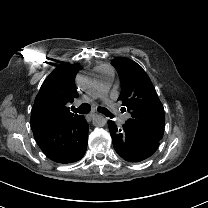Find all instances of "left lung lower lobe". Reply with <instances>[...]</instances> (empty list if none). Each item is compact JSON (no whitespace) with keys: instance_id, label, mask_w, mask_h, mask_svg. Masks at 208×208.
Listing matches in <instances>:
<instances>
[{"instance_id":"obj_1","label":"left lung lower lobe","mask_w":208,"mask_h":208,"mask_svg":"<svg viewBox=\"0 0 208 208\" xmlns=\"http://www.w3.org/2000/svg\"><path fill=\"white\" fill-rule=\"evenodd\" d=\"M110 135L117 154L125 161L137 163L152 156L159 146L156 139L138 132L127 121L118 128L113 121H108Z\"/></svg>"}]
</instances>
